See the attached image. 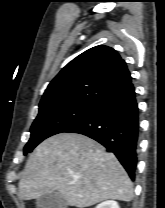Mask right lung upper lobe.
Segmentation results:
<instances>
[{"mask_svg":"<svg viewBox=\"0 0 165 208\" xmlns=\"http://www.w3.org/2000/svg\"><path fill=\"white\" fill-rule=\"evenodd\" d=\"M131 83L120 55L108 46H96L68 63L50 82L39 108L64 103H97Z\"/></svg>","mask_w":165,"mask_h":208,"instance_id":"obj_1","label":"right lung upper lobe"}]
</instances>
